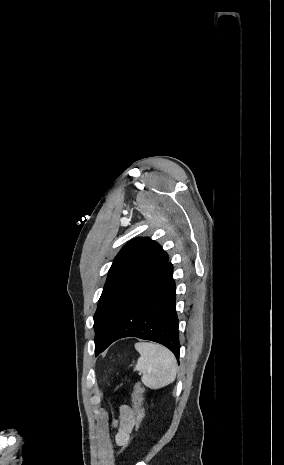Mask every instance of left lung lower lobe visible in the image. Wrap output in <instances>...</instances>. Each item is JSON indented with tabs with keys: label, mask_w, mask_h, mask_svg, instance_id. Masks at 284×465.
<instances>
[{
	"label": "left lung lower lobe",
	"mask_w": 284,
	"mask_h": 465,
	"mask_svg": "<svg viewBox=\"0 0 284 465\" xmlns=\"http://www.w3.org/2000/svg\"><path fill=\"white\" fill-rule=\"evenodd\" d=\"M172 276L173 266L168 262L154 279L124 306L103 341L102 351L120 338L133 336L160 343L179 359L176 287Z\"/></svg>",
	"instance_id": "obj_1"
}]
</instances>
